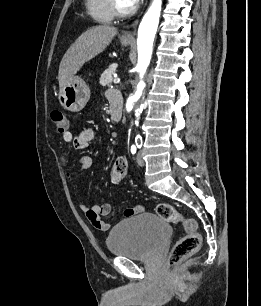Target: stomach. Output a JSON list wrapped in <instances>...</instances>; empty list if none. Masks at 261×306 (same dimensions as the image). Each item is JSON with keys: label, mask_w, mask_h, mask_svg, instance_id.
<instances>
[{"label": "stomach", "mask_w": 261, "mask_h": 306, "mask_svg": "<svg viewBox=\"0 0 261 306\" xmlns=\"http://www.w3.org/2000/svg\"><path fill=\"white\" fill-rule=\"evenodd\" d=\"M123 46L129 41H121ZM58 99L64 109L71 112L81 111L90 99V88L80 77H74L64 88L60 89Z\"/></svg>", "instance_id": "obj_1"}]
</instances>
